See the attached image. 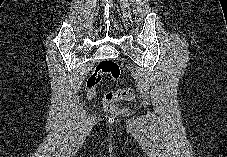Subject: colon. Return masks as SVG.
<instances>
[{
	"mask_svg": "<svg viewBox=\"0 0 227 157\" xmlns=\"http://www.w3.org/2000/svg\"><path fill=\"white\" fill-rule=\"evenodd\" d=\"M105 75L111 77L113 80H117L120 76V69L117 63L111 60H102L97 64L94 72L86 81V89L90 98L94 97L96 87L100 83L101 78ZM134 99L135 92L133 89L121 88L106 93L103 97L102 105L107 112L115 113L118 111L116 107L118 101Z\"/></svg>",
	"mask_w": 227,
	"mask_h": 157,
	"instance_id": "5ec220e1",
	"label": "colon"
}]
</instances>
